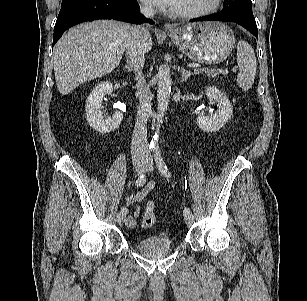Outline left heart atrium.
Here are the masks:
<instances>
[{"mask_svg": "<svg viewBox=\"0 0 307 301\" xmlns=\"http://www.w3.org/2000/svg\"><path fill=\"white\" fill-rule=\"evenodd\" d=\"M160 9H174L178 0H145Z\"/></svg>", "mask_w": 307, "mask_h": 301, "instance_id": "39dd6f15", "label": "left heart atrium"}]
</instances>
